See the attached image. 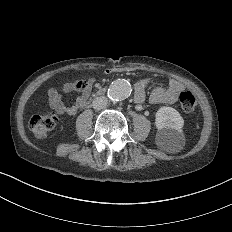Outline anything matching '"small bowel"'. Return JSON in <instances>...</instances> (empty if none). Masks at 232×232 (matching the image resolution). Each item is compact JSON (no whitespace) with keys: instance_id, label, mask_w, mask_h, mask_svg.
<instances>
[{"instance_id":"obj_1","label":"small bowel","mask_w":232,"mask_h":232,"mask_svg":"<svg viewBox=\"0 0 232 232\" xmlns=\"http://www.w3.org/2000/svg\"><path fill=\"white\" fill-rule=\"evenodd\" d=\"M133 69L129 67H120L106 70V75H117V74H129L132 73ZM92 77H85L75 82L66 83L63 86L65 93H70L75 89L82 88V95L74 105H64L57 100V91L54 87L48 89L49 96L53 99L54 106L61 112L74 113L81 109L89 97L92 90ZM153 87L149 102L156 104L160 102H174L177 100L178 95L184 91L185 85L178 80L170 82L169 87H164L162 82L158 78L150 77L137 82L135 86V93L132 97V101L135 104H141L146 100V89Z\"/></svg>"}]
</instances>
